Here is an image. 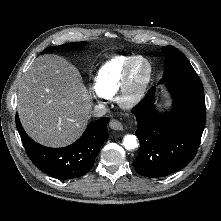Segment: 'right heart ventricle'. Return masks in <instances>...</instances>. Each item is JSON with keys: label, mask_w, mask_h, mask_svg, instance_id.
Wrapping results in <instances>:
<instances>
[{"label": "right heart ventricle", "mask_w": 221, "mask_h": 221, "mask_svg": "<svg viewBox=\"0 0 221 221\" xmlns=\"http://www.w3.org/2000/svg\"><path fill=\"white\" fill-rule=\"evenodd\" d=\"M133 57L115 56L100 67L94 83V89L100 96L112 98L118 93L124 70Z\"/></svg>", "instance_id": "right-heart-ventricle-1"}]
</instances>
